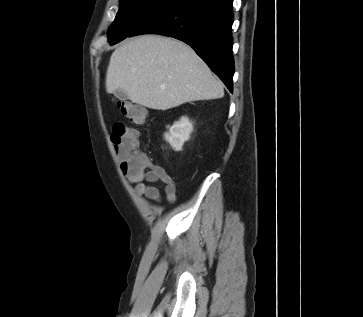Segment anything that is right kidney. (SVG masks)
Instances as JSON below:
<instances>
[{
  "mask_svg": "<svg viewBox=\"0 0 363 317\" xmlns=\"http://www.w3.org/2000/svg\"><path fill=\"white\" fill-rule=\"evenodd\" d=\"M192 131V122L187 117H181L179 121L169 128V132L164 134V138L175 151H180Z\"/></svg>",
  "mask_w": 363,
  "mask_h": 317,
  "instance_id": "right-kidney-1",
  "label": "right kidney"
}]
</instances>
